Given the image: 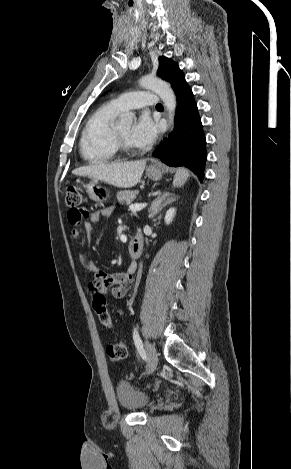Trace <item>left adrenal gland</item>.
<instances>
[{
  "mask_svg": "<svg viewBox=\"0 0 291 469\" xmlns=\"http://www.w3.org/2000/svg\"><path fill=\"white\" fill-rule=\"evenodd\" d=\"M176 200L175 196H172L170 193L160 194L156 200L153 202L150 210V218H153L163 207L167 204H170Z\"/></svg>",
  "mask_w": 291,
  "mask_h": 469,
  "instance_id": "left-adrenal-gland-1",
  "label": "left adrenal gland"
}]
</instances>
